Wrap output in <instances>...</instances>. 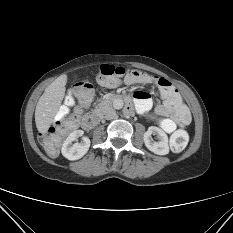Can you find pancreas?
<instances>
[{
    "mask_svg": "<svg viewBox=\"0 0 233 233\" xmlns=\"http://www.w3.org/2000/svg\"><path fill=\"white\" fill-rule=\"evenodd\" d=\"M110 104H111V98L107 97L103 99L98 105H96L95 109L92 110V113L93 114L104 113L105 110L108 109Z\"/></svg>",
    "mask_w": 233,
    "mask_h": 233,
    "instance_id": "obj_1",
    "label": "pancreas"
}]
</instances>
